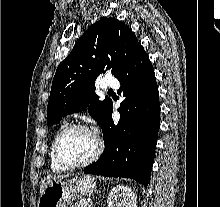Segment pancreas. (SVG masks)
Instances as JSON below:
<instances>
[{"label":"pancreas","mask_w":220,"mask_h":207,"mask_svg":"<svg viewBox=\"0 0 220 207\" xmlns=\"http://www.w3.org/2000/svg\"><path fill=\"white\" fill-rule=\"evenodd\" d=\"M73 207H89L87 201L85 199H82L75 203V206Z\"/></svg>","instance_id":"obj_1"}]
</instances>
